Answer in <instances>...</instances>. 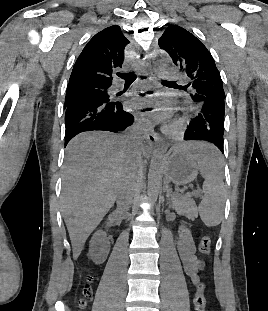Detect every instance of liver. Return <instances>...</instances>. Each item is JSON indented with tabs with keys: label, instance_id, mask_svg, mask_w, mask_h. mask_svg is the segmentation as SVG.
I'll use <instances>...</instances> for the list:
<instances>
[{
	"label": "liver",
	"instance_id": "liver-1",
	"mask_svg": "<svg viewBox=\"0 0 268 311\" xmlns=\"http://www.w3.org/2000/svg\"><path fill=\"white\" fill-rule=\"evenodd\" d=\"M66 153L62 213L76 260L119 196L134 155L126 137L102 131L79 134Z\"/></svg>",
	"mask_w": 268,
	"mask_h": 311
}]
</instances>
